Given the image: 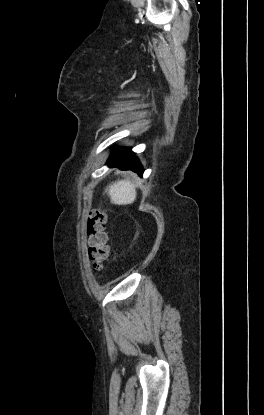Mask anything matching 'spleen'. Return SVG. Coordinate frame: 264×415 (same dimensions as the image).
Returning a JSON list of instances; mask_svg holds the SVG:
<instances>
[{"label": "spleen", "instance_id": "spleen-1", "mask_svg": "<svg viewBox=\"0 0 264 415\" xmlns=\"http://www.w3.org/2000/svg\"><path fill=\"white\" fill-rule=\"evenodd\" d=\"M105 192L108 193L111 203L118 205L131 204L136 198L135 186L128 179L111 183Z\"/></svg>", "mask_w": 264, "mask_h": 415}]
</instances>
